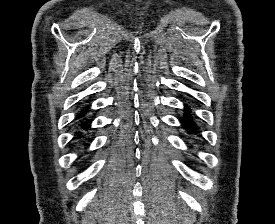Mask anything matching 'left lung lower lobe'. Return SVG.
I'll return each instance as SVG.
<instances>
[{
    "mask_svg": "<svg viewBox=\"0 0 275 224\" xmlns=\"http://www.w3.org/2000/svg\"><path fill=\"white\" fill-rule=\"evenodd\" d=\"M190 109H185V116L181 119L183 128L186 129L189 133H196L197 127L194 124L191 116H189Z\"/></svg>",
    "mask_w": 275,
    "mask_h": 224,
    "instance_id": "1",
    "label": "left lung lower lobe"
}]
</instances>
